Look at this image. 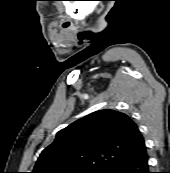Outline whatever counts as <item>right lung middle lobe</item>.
Listing matches in <instances>:
<instances>
[{
  "label": "right lung middle lobe",
  "instance_id": "1",
  "mask_svg": "<svg viewBox=\"0 0 170 173\" xmlns=\"http://www.w3.org/2000/svg\"><path fill=\"white\" fill-rule=\"evenodd\" d=\"M105 169H91V170H81L73 171V173H103Z\"/></svg>",
  "mask_w": 170,
  "mask_h": 173
}]
</instances>
